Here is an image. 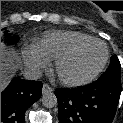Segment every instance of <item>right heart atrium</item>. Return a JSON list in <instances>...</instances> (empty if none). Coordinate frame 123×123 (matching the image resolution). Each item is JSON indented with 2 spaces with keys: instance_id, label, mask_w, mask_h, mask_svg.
I'll list each match as a JSON object with an SVG mask.
<instances>
[{
  "instance_id": "obj_1",
  "label": "right heart atrium",
  "mask_w": 123,
  "mask_h": 123,
  "mask_svg": "<svg viewBox=\"0 0 123 123\" xmlns=\"http://www.w3.org/2000/svg\"><path fill=\"white\" fill-rule=\"evenodd\" d=\"M22 57L26 67L33 73L41 71L48 64V60L33 49L25 50Z\"/></svg>"
}]
</instances>
